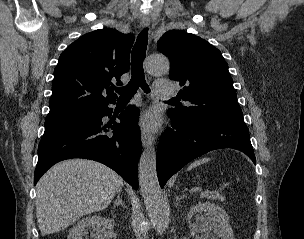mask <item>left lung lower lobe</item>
I'll use <instances>...</instances> for the list:
<instances>
[{"label":"left lung lower lobe","instance_id":"obj_1","mask_svg":"<svg viewBox=\"0 0 304 239\" xmlns=\"http://www.w3.org/2000/svg\"><path fill=\"white\" fill-rule=\"evenodd\" d=\"M171 127L157 148V174L161 188L191 160L215 149L232 148L245 153L256 164L249 131L244 122L209 120L195 124L179 119L168 110Z\"/></svg>","mask_w":304,"mask_h":239}]
</instances>
